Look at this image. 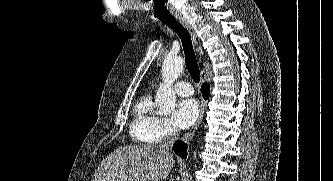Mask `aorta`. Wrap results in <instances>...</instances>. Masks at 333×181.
Here are the masks:
<instances>
[{
    "mask_svg": "<svg viewBox=\"0 0 333 181\" xmlns=\"http://www.w3.org/2000/svg\"><path fill=\"white\" fill-rule=\"evenodd\" d=\"M183 70V59L181 57H169L162 65V79L155 103L158 105L159 111L163 114L171 113L176 106V95L172 89L173 83L177 80Z\"/></svg>",
    "mask_w": 333,
    "mask_h": 181,
    "instance_id": "obj_1",
    "label": "aorta"
}]
</instances>
